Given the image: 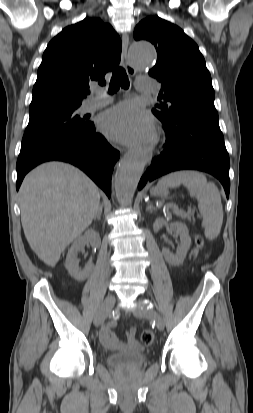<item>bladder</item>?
Listing matches in <instances>:
<instances>
[{"label": "bladder", "instance_id": "31cf9c89", "mask_svg": "<svg viewBox=\"0 0 253 413\" xmlns=\"http://www.w3.org/2000/svg\"><path fill=\"white\" fill-rule=\"evenodd\" d=\"M109 366L116 369H136L142 367L147 357L140 347L112 353L106 358Z\"/></svg>", "mask_w": 253, "mask_h": 413}]
</instances>
